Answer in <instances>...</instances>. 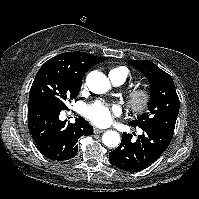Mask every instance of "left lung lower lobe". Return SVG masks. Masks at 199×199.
Listing matches in <instances>:
<instances>
[{
    "label": "left lung lower lobe",
    "instance_id": "obj_1",
    "mask_svg": "<svg viewBox=\"0 0 199 199\" xmlns=\"http://www.w3.org/2000/svg\"><path fill=\"white\" fill-rule=\"evenodd\" d=\"M144 133L136 141L132 135L123 133L121 144L109 154L110 162L125 171H141L166 150L173 135L157 128H142Z\"/></svg>",
    "mask_w": 199,
    "mask_h": 199
}]
</instances>
